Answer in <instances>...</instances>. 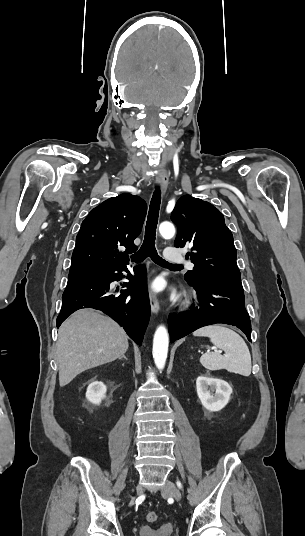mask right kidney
I'll return each mask as SVG.
<instances>
[{
    "label": "right kidney",
    "instance_id": "right-kidney-1",
    "mask_svg": "<svg viewBox=\"0 0 305 536\" xmlns=\"http://www.w3.org/2000/svg\"><path fill=\"white\" fill-rule=\"evenodd\" d=\"M106 392L107 388L103 382H96V380H93L87 388L86 398L89 402H92V404H100L101 400L105 398Z\"/></svg>",
    "mask_w": 305,
    "mask_h": 536
}]
</instances>
